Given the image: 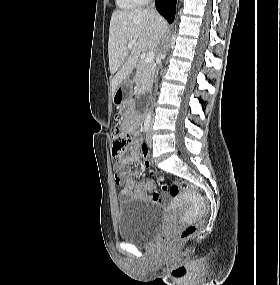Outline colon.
<instances>
[{
    "label": "colon",
    "mask_w": 280,
    "mask_h": 285,
    "mask_svg": "<svg viewBox=\"0 0 280 285\" xmlns=\"http://www.w3.org/2000/svg\"><path fill=\"white\" fill-rule=\"evenodd\" d=\"M111 138L113 143V155L116 159H121L125 150L132 144L131 136L120 126L115 125L111 128ZM142 153L143 156L146 157L148 150L145 149L142 151ZM156 184L173 197H176L186 191L197 192L198 190L195 185L182 181L166 182L162 178H156ZM202 199L204 205L206 206V199L204 197H202ZM196 230L197 225L187 224L177 234L172 236L168 242L170 245H177L180 242L191 237L196 232Z\"/></svg>",
    "instance_id": "1"
}]
</instances>
